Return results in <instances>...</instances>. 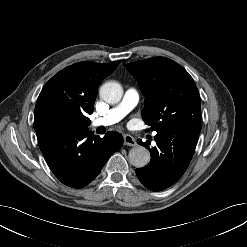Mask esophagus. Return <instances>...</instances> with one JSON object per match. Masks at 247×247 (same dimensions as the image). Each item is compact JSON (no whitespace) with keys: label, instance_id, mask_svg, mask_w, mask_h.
Returning <instances> with one entry per match:
<instances>
[{"label":"esophagus","instance_id":"1","mask_svg":"<svg viewBox=\"0 0 247 247\" xmlns=\"http://www.w3.org/2000/svg\"><path fill=\"white\" fill-rule=\"evenodd\" d=\"M123 140H124V145H126V146H136L137 145L134 137L129 135V134H125L123 136Z\"/></svg>","mask_w":247,"mask_h":247}]
</instances>
